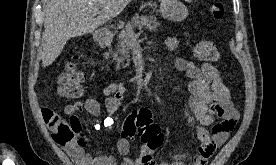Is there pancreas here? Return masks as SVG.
<instances>
[{"label":"pancreas","instance_id":"pancreas-1","mask_svg":"<svg viewBox=\"0 0 276 165\" xmlns=\"http://www.w3.org/2000/svg\"><path fill=\"white\" fill-rule=\"evenodd\" d=\"M160 26V23L153 16H136L128 21L125 27L121 30L118 35V45L114 53L112 54L113 59L116 61L117 68L121 66L125 68L130 61L129 48L131 43L134 41L135 29L142 30L143 28L149 29L150 31H156L157 27ZM108 56L109 53H106ZM127 61V64H124V61Z\"/></svg>","mask_w":276,"mask_h":165}]
</instances>
